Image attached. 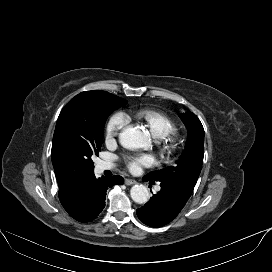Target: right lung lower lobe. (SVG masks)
Returning a JSON list of instances; mask_svg holds the SVG:
<instances>
[{"instance_id":"1","label":"right lung lower lobe","mask_w":272,"mask_h":272,"mask_svg":"<svg viewBox=\"0 0 272 272\" xmlns=\"http://www.w3.org/2000/svg\"><path fill=\"white\" fill-rule=\"evenodd\" d=\"M121 176L96 178L93 174L83 188L75 204L67 209L68 214L79 222H90L97 218L105 207L106 191L116 184L122 185Z\"/></svg>"}]
</instances>
